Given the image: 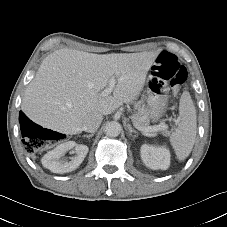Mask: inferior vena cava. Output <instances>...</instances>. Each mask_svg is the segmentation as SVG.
<instances>
[{
    "instance_id": "inferior-vena-cava-1",
    "label": "inferior vena cava",
    "mask_w": 227,
    "mask_h": 227,
    "mask_svg": "<svg viewBox=\"0 0 227 227\" xmlns=\"http://www.w3.org/2000/svg\"><path fill=\"white\" fill-rule=\"evenodd\" d=\"M103 120V115L100 113H94L86 117L83 130L86 132L94 133L100 126Z\"/></svg>"
}]
</instances>
